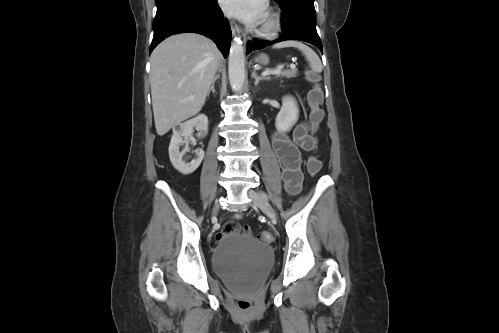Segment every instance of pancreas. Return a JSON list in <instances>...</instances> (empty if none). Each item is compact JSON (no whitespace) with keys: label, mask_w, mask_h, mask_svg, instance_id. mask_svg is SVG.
<instances>
[{"label":"pancreas","mask_w":499,"mask_h":333,"mask_svg":"<svg viewBox=\"0 0 499 333\" xmlns=\"http://www.w3.org/2000/svg\"><path fill=\"white\" fill-rule=\"evenodd\" d=\"M297 74H298V70L296 68H292L290 70L281 71L280 73L275 74V75L277 77L292 78V77H296Z\"/></svg>","instance_id":"cf45deb5"}]
</instances>
